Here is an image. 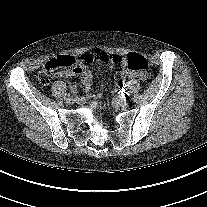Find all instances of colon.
<instances>
[{"label": "colon", "mask_w": 207, "mask_h": 207, "mask_svg": "<svg viewBox=\"0 0 207 207\" xmlns=\"http://www.w3.org/2000/svg\"><path fill=\"white\" fill-rule=\"evenodd\" d=\"M94 61L120 63L122 62V58L109 53L86 54L80 59H76L71 55H61L46 63L38 75V81L43 86L49 85L53 79V71L57 69H68L74 72L79 68V63H92ZM124 63L128 69L140 73H144L149 67L148 61L143 56L134 53H130Z\"/></svg>", "instance_id": "obj_1"}]
</instances>
